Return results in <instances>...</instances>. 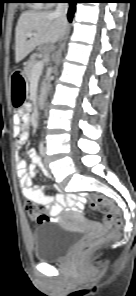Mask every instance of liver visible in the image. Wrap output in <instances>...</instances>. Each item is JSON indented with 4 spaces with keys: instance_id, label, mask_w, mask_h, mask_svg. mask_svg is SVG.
I'll list each match as a JSON object with an SVG mask.
<instances>
[{
    "instance_id": "obj_1",
    "label": "liver",
    "mask_w": 136,
    "mask_h": 296,
    "mask_svg": "<svg viewBox=\"0 0 136 296\" xmlns=\"http://www.w3.org/2000/svg\"><path fill=\"white\" fill-rule=\"evenodd\" d=\"M66 27L67 23L52 11L23 12L15 30V62L23 60L38 45L56 43ZM33 31L35 34L28 37Z\"/></svg>"
}]
</instances>
